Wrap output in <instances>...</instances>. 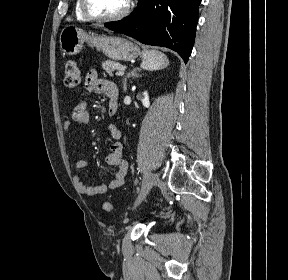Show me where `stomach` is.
Returning a JSON list of instances; mask_svg holds the SVG:
<instances>
[{
  "mask_svg": "<svg viewBox=\"0 0 288 280\" xmlns=\"http://www.w3.org/2000/svg\"><path fill=\"white\" fill-rule=\"evenodd\" d=\"M85 42L115 61H130L140 54L137 45L119 36L90 35L75 25H67L62 29L60 48L67 55L79 53Z\"/></svg>",
  "mask_w": 288,
  "mask_h": 280,
  "instance_id": "stomach-1",
  "label": "stomach"
}]
</instances>
